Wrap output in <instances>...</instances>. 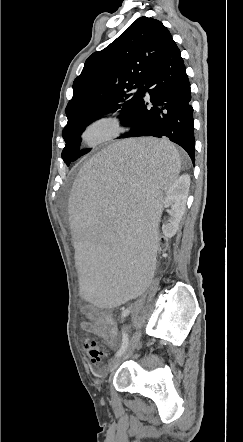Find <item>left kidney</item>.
<instances>
[{"label":"left kidney","mask_w":243,"mask_h":442,"mask_svg":"<svg viewBox=\"0 0 243 442\" xmlns=\"http://www.w3.org/2000/svg\"><path fill=\"white\" fill-rule=\"evenodd\" d=\"M189 185V176L182 175L169 188L167 196L163 200L164 207H171L169 223H165L162 226V229H164L168 238H171L176 234L180 220L185 213Z\"/></svg>","instance_id":"5707ae66"}]
</instances>
